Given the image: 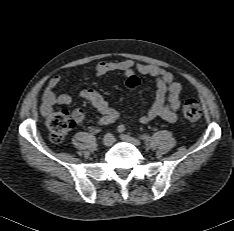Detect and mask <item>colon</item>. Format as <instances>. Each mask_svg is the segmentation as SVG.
Here are the masks:
<instances>
[{
  "instance_id": "obj_1",
  "label": "colon",
  "mask_w": 234,
  "mask_h": 231,
  "mask_svg": "<svg viewBox=\"0 0 234 231\" xmlns=\"http://www.w3.org/2000/svg\"><path fill=\"white\" fill-rule=\"evenodd\" d=\"M126 84L128 88L133 89L138 86L139 79L137 76L131 75L127 78ZM183 114L190 121L198 120L202 114L199 102L195 99H187L183 104ZM45 123L55 141H61L74 125V121L67 111L48 113Z\"/></svg>"
}]
</instances>
